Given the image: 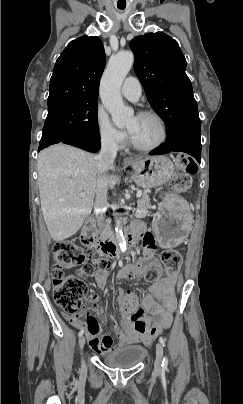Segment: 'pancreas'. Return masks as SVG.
Returning a JSON list of instances; mask_svg holds the SVG:
<instances>
[{
  "mask_svg": "<svg viewBox=\"0 0 243 404\" xmlns=\"http://www.w3.org/2000/svg\"><path fill=\"white\" fill-rule=\"evenodd\" d=\"M149 193H143L142 198L137 200V210H136V218H145V216H149V210L152 208L149 200ZM109 228V226H108ZM109 236V234H107Z\"/></svg>",
  "mask_w": 243,
  "mask_h": 404,
  "instance_id": "obj_1",
  "label": "pancreas"
}]
</instances>
